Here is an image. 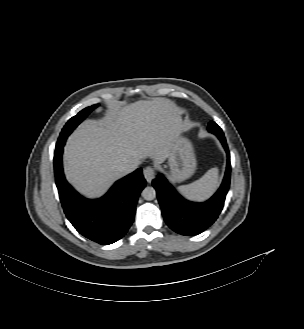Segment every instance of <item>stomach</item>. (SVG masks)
Listing matches in <instances>:
<instances>
[{
	"label": "stomach",
	"instance_id": "1",
	"mask_svg": "<svg viewBox=\"0 0 304 329\" xmlns=\"http://www.w3.org/2000/svg\"><path fill=\"white\" fill-rule=\"evenodd\" d=\"M169 173L175 182L189 178L196 169V159L191 143L182 137L175 140L169 156Z\"/></svg>",
	"mask_w": 304,
	"mask_h": 329
}]
</instances>
